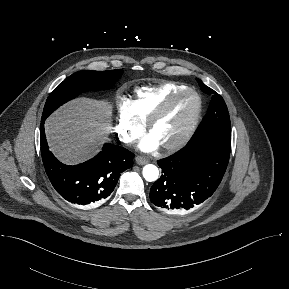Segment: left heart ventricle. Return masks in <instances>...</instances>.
Wrapping results in <instances>:
<instances>
[{
	"label": "left heart ventricle",
	"mask_w": 289,
	"mask_h": 289,
	"mask_svg": "<svg viewBox=\"0 0 289 289\" xmlns=\"http://www.w3.org/2000/svg\"><path fill=\"white\" fill-rule=\"evenodd\" d=\"M195 106L196 101L191 95L180 97L166 114L154 124L150 135L160 145L174 141L185 130Z\"/></svg>",
	"instance_id": "obj_1"
}]
</instances>
